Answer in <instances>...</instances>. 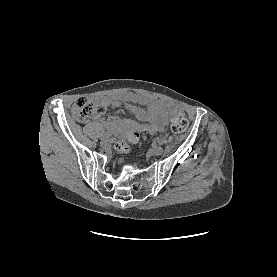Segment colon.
Instances as JSON below:
<instances>
[{"mask_svg":"<svg viewBox=\"0 0 277 277\" xmlns=\"http://www.w3.org/2000/svg\"><path fill=\"white\" fill-rule=\"evenodd\" d=\"M105 108L102 105H97L86 98L77 99L72 106V114L78 120H90L103 116ZM189 126V118L184 113L176 114L171 121V131L173 133H183ZM139 141V135L136 132H131L127 137L116 144V149L121 155L129 154L132 146Z\"/></svg>","mask_w":277,"mask_h":277,"instance_id":"colon-1","label":"colon"}]
</instances>
